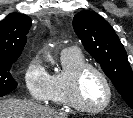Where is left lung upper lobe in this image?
I'll return each mask as SVG.
<instances>
[{
  "instance_id": "left-lung-upper-lobe-1",
  "label": "left lung upper lobe",
  "mask_w": 133,
  "mask_h": 118,
  "mask_svg": "<svg viewBox=\"0 0 133 118\" xmlns=\"http://www.w3.org/2000/svg\"><path fill=\"white\" fill-rule=\"evenodd\" d=\"M73 28L85 49L133 109V76L127 53L110 24L94 11L78 12Z\"/></svg>"
}]
</instances>
